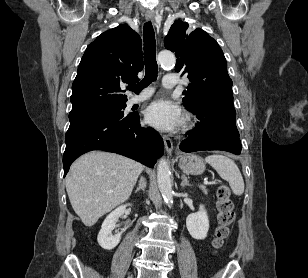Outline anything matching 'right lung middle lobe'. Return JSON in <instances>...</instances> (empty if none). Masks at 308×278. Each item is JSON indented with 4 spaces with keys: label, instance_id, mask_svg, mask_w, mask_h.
Returning <instances> with one entry per match:
<instances>
[{
    "label": "right lung middle lobe",
    "instance_id": "dd1d6c3e",
    "mask_svg": "<svg viewBox=\"0 0 308 278\" xmlns=\"http://www.w3.org/2000/svg\"><path fill=\"white\" fill-rule=\"evenodd\" d=\"M126 107L125 103L124 104H118V105H112L109 107H105V108H101L95 111H91L88 112L86 114L83 115H79V116H74V117H69L70 120L77 118V117H81V116H86V115H95V116H103L106 118H116L119 116H124V112L123 109Z\"/></svg>",
    "mask_w": 308,
    "mask_h": 278
}]
</instances>
